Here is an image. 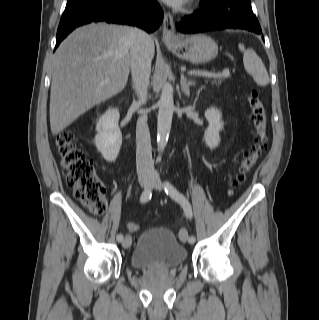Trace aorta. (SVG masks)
Listing matches in <instances>:
<instances>
[{"mask_svg":"<svg viewBox=\"0 0 319 320\" xmlns=\"http://www.w3.org/2000/svg\"><path fill=\"white\" fill-rule=\"evenodd\" d=\"M158 107L157 144L162 152L168 142L174 111L173 87L169 82L164 83L162 87Z\"/></svg>","mask_w":319,"mask_h":320,"instance_id":"obj_1","label":"aorta"}]
</instances>
